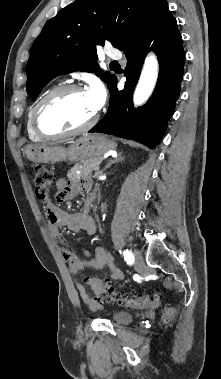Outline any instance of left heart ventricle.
I'll use <instances>...</instances> for the list:
<instances>
[{
  "label": "left heart ventricle",
  "instance_id": "obj_1",
  "mask_svg": "<svg viewBox=\"0 0 221 379\" xmlns=\"http://www.w3.org/2000/svg\"><path fill=\"white\" fill-rule=\"evenodd\" d=\"M94 114L85 93L72 92L52 102L44 110L41 122L46 130L57 132L76 128Z\"/></svg>",
  "mask_w": 221,
  "mask_h": 379
}]
</instances>
